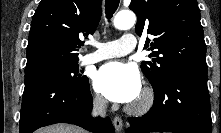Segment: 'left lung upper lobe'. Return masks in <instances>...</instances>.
I'll return each instance as SVG.
<instances>
[{
	"instance_id": "left-lung-upper-lobe-1",
	"label": "left lung upper lobe",
	"mask_w": 221,
	"mask_h": 133,
	"mask_svg": "<svg viewBox=\"0 0 221 133\" xmlns=\"http://www.w3.org/2000/svg\"><path fill=\"white\" fill-rule=\"evenodd\" d=\"M137 15L135 31L153 35L145 47L154 50L141 69L153 86L159 87L178 71L207 74L206 45L196 0H132Z\"/></svg>"
}]
</instances>
